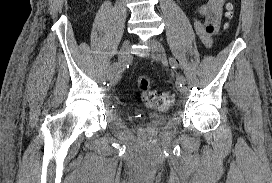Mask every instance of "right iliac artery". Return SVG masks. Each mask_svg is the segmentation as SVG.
<instances>
[{
    "label": "right iliac artery",
    "mask_w": 272,
    "mask_h": 183,
    "mask_svg": "<svg viewBox=\"0 0 272 183\" xmlns=\"http://www.w3.org/2000/svg\"><path fill=\"white\" fill-rule=\"evenodd\" d=\"M117 63L111 65L110 69H115ZM114 75L117 73L115 70L112 72Z\"/></svg>",
    "instance_id": "1"
}]
</instances>
